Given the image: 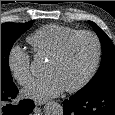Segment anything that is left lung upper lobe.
Returning a JSON list of instances; mask_svg holds the SVG:
<instances>
[{"label": "left lung upper lobe", "instance_id": "5c2ea615", "mask_svg": "<svg viewBox=\"0 0 115 115\" xmlns=\"http://www.w3.org/2000/svg\"><path fill=\"white\" fill-rule=\"evenodd\" d=\"M102 46V60L94 77L76 95L82 96L106 88H115V47L107 34L94 22L89 21Z\"/></svg>", "mask_w": 115, "mask_h": 115}]
</instances>
